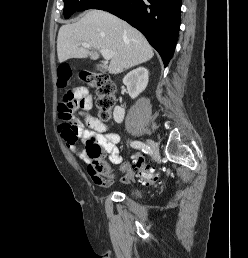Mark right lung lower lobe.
<instances>
[{
	"instance_id": "98d812e1",
	"label": "right lung lower lobe",
	"mask_w": 248,
	"mask_h": 258,
	"mask_svg": "<svg viewBox=\"0 0 248 258\" xmlns=\"http://www.w3.org/2000/svg\"><path fill=\"white\" fill-rule=\"evenodd\" d=\"M127 21L147 38L166 67L180 27L181 0H108L95 7Z\"/></svg>"
}]
</instances>
